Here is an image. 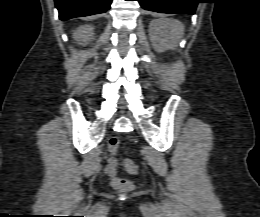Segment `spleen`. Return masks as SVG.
I'll use <instances>...</instances> for the list:
<instances>
[{"label": "spleen", "instance_id": "1", "mask_svg": "<svg viewBox=\"0 0 260 217\" xmlns=\"http://www.w3.org/2000/svg\"><path fill=\"white\" fill-rule=\"evenodd\" d=\"M175 27H176L177 35L181 36L183 33V29L179 24H176Z\"/></svg>", "mask_w": 260, "mask_h": 217}]
</instances>
